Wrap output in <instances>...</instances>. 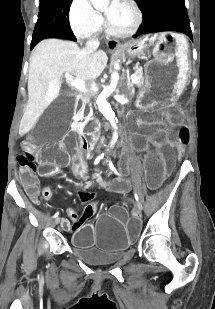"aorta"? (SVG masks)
Returning a JSON list of instances; mask_svg holds the SVG:
<instances>
[{"mask_svg":"<svg viewBox=\"0 0 215 309\" xmlns=\"http://www.w3.org/2000/svg\"><path fill=\"white\" fill-rule=\"evenodd\" d=\"M94 8H97V10H101V8H106L108 4H110V0H91ZM115 68L116 66H119V64H114ZM119 80V72L117 70H114L111 74V80L109 86H106L105 92H101L97 98V104L100 112H102L103 116L105 118H108L110 124H112L113 128H115L111 140V144H115L117 138H118V132L116 130V122H115V112L111 108V104H109L108 100H106L108 94H111L115 88H117Z\"/></svg>","mask_w":215,"mask_h":309,"instance_id":"obj_1","label":"aorta"}]
</instances>
